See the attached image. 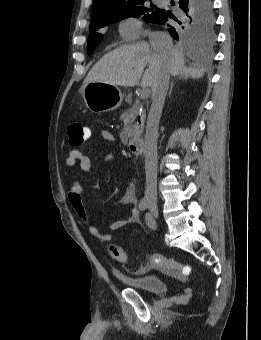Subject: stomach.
Listing matches in <instances>:
<instances>
[{
  "instance_id": "0dacf381",
  "label": "stomach",
  "mask_w": 261,
  "mask_h": 340,
  "mask_svg": "<svg viewBox=\"0 0 261 340\" xmlns=\"http://www.w3.org/2000/svg\"><path fill=\"white\" fill-rule=\"evenodd\" d=\"M83 99L93 113L109 112L117 109L123 95L116 85L89 82L83 87Z\"/></svg>"
}]
</instances>
